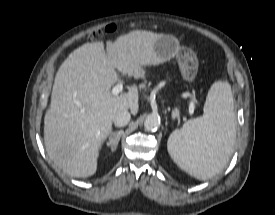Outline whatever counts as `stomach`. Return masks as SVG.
Instances as JSON below:
<instances>
[{"instance_id": "obj_1", "label": "stomach", "mask_w": 275, "mask_h": 215, "mask_svg": "<svg viewBox=\"0 0 275 215\" xmlns=\"http://www.w3.org/2000/svg\"><path fill=\"white\" fill-rule=\"evenodd\" d=\"M154 50L163 61L176 57L183 79L187 82L194 81L198 72V59L191 49L180 46L174 36L162 34L157 38Z\"/></svg>"}]
</instances>
